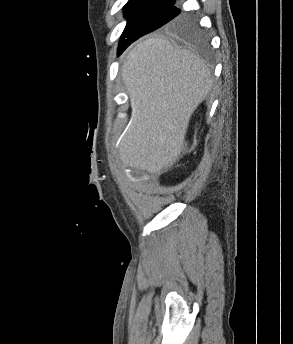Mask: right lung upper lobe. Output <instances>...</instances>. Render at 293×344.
<instances>
[{"mask_svg": "<svg viewBox=\"0 0 293 344\" xmlns=\"http://www.w3.org/2000/svg\"><path fill=\"white\" fill-rule=\"evenodd\" d=\"M128 3H133V4L161 3V4L173 5L174 0H129Z\"/></svg>", "mask_w": 293, "mask_h": 344, "instance_id": "cb5924a9", "label": "right lung upper lobe"}]
</instances>
